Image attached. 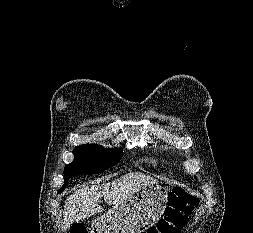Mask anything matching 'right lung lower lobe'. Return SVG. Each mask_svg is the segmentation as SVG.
Listing matches in <instances>:
<instances>
[{
  "label": "right lung lower lobe",
  "instance_id": "98d812e1",
  "mask_svg": "<svg viewBox=\"0 0 253 233\" xmlns=\"http://www.w3.org/2000/svg\"><path fill=\"white\" fill-rule=\"evenodd\" d=\"M66 185H67V182H65V184H64V185L62 186V188L58 191V193H61V192L65 189Z\"/></svg>",
  "mask_w": 253,
  "mask_h": 233
}]
</instances>
